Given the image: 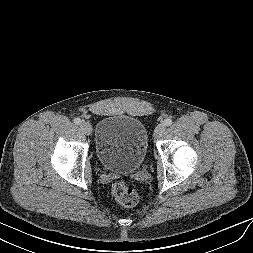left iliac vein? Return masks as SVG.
Wrapping results in <instances>:
<instances>
[{
    "label": "left iliac vein",
    "instance_id": "left-iliac-vein-1",
    "mask_svg": "<svg viewBox=\"0 0 253 253\" xmlns=\"http://www.w3.org/2000/svg\"><path fill=\"white\" fill-rule=\"evenodd\" d=\"M165 132V125L164 124H159L155 130H154V137L155 139H159L162 137V135Z\"/></svg>",
    "mask_w": 253,
    "mask_h": 253
}]
</instances>
